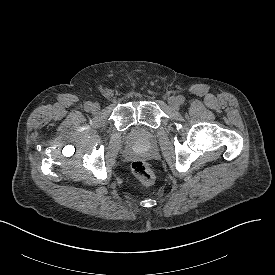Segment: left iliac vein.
Returning a JSON list of instances; mask_svg holds the SVG:
<instances>
[{
	"label": "left iliac vein",
	"mask_w": 275,
	"mask_h": 275,
	"mask_svg": "<svg viewBox=\"0 0 275 275\" xmlns=\"http://www.w3.org/2000/svg\"><path fill=\"white\" fill-rule=\"evenodd\" d=\"M168 103L174 110H177L179 108V105H180V103H179V101L176 97H170L168 99Z\"/></svg>",
	"instance_id": "1"
}]
</instances>
